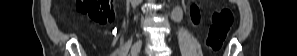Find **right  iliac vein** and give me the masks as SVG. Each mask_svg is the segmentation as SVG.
<instances>
[{
    "label": "right iliac vein",
    "mask_w": 297,
    "mask_h": 56,
    "mask_svg": "<svg viewBox=\"0 0 297 56\" xmlns=\"http://www.w3.org/2000/svg\"><path fill=\"white\" fill-rule=\"evenodd\" d=\"M141 46H142V41L141 40L136 41L131 47V55L137 56V54L141 49Z\"/></svg>",
    "instance_id": "1"
}]
</instances>
